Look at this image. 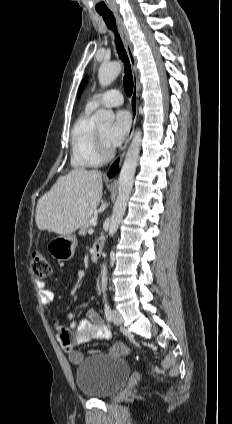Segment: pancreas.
I'll use <instances>...</instances> for the list:
<instances>
[{
	"label": "pancreas",
	"instance_id": "pancreas-1",
	"mask_svg": "<svg viewBox=\"0 0 232 424\" xmlns=\"http://www.w3.org/2000/svg\"><path fill=\"white\" fill-rule=\"evenodd\" d=\"M92 218H94V216H91L86 222H85V224L81 227V229H80V231H79V234L80 235H85L86 233H87V231H88V229L90 228V226H91V223H90V220L92 219Z\"/></svg>",
	"mask_w": 232,
	"mask_h": 424
}]
</instances>
